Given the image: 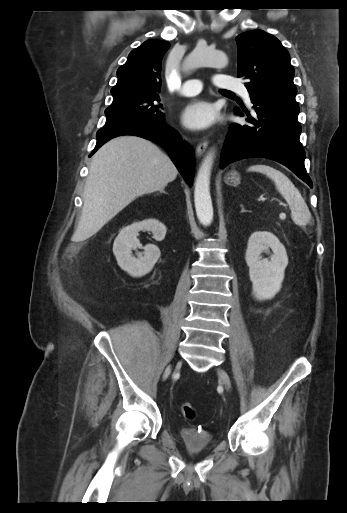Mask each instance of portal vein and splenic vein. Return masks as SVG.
<instances>
[{"label":"portal vein and splenic vein","instance_id":"portal-vein-and-splenic-vein-1","mask_svg":"<svg viewBox=\"0 0 347 513\" xmlns=\"http://www.w3.org/2000/svg\"><path fill=\"white\" fill-rule=\"evenodd\" d=\"M265 200H266V198H264V197L260 198V201H262V202H264Z\"/></svg>","mask_w":347,"mask_h":513}]
</instances>
